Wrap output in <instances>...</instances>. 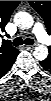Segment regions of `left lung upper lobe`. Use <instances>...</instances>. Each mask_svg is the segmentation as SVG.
<instances>
[{"instance_id": "obj_1", "label": "left lung upper lobe", "mask_w": 51, "mask_h": 101, "mask_svg": "<svg viewBox=\"0 0 51 101\" xmlns=\"http://www.w3.org/2000/svg\"><path fill=\"white\" fill-rule=\"evenodd\" d=\"M30 5L44 19L48 33L51 32V2L48 1H29Z\"/></svg>"}]
</instances>
